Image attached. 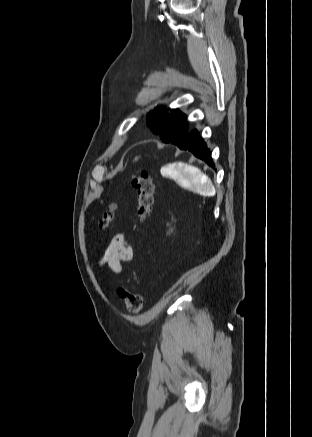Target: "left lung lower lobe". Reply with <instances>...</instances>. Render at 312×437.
Instances as JSON below:
<instances>
[{
  "label": "left lung lower lobe",
  "instance_id": "1",
  "mask_svg": "<svg viewBox=\"0 0 312 437\" xmlns=\"http://www.w3.org/2000/svg\"><path fill=\"white\" fill-rule=\"evenodd\" d=\"M178 146L182 150H188L192 152L197 158L205 161L209 166L215 167L209 149L206 147L205 142L200 138L199 132L194 129L191 130L182 139L170 142Z\"/></svg>",
  "mask_w": 312,
  "mask_h": 437
}]
</instances>
